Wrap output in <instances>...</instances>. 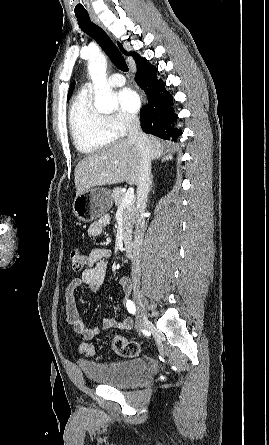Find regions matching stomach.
Instances as JSON below:
<instances>
[{
	"instance_id": "1",
	"label": "stomach",
	"mask_w": 269,
	"mask_h": 445,
	"mask_svg": "<svg viewBox=\"0 0 269 445\" xmlns=\"http://www.w3.org/2000/svg\"><path fill=\"white\" fill-rule=\"evenodd\" d=\"M113 205L110 190L96 188L75 197L73 212L82 222H92L105 215Z\"/></svg>"
}]
</instances>
